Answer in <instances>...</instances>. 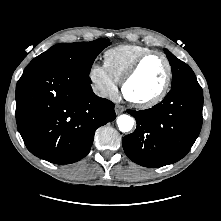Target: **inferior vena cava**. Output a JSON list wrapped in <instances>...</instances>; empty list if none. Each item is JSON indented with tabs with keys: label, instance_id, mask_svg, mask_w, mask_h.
<instances>
[{
	"label": "inferior vena cava",
	"instance_id": "obj_1",
	"mask_svg": "<svg viewBox=\"0 0 221 221\" xmlns=\"http://www.w3.org/2000/svg\"><path fill=\"white\" fill-rule=\"evenodd\" d=\"M93 91L96 95L100 97H106L108 95L104 89L97 87V86L93 87Z\"/></svg>",
	"mask_w": 221,
	"mask_h": 221
}]
</instances>
